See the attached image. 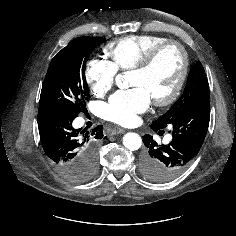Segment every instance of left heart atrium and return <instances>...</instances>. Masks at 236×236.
Instances as JSON below:
<instances>
[{
	"label": "left heart atrium",
	"mask_w": 236,
	"mask_h": 236,
	"mask_svg": "<svg viewBox=\"0 0 236 236\" xmlns=\"http://www.w3.org/2000/svg\"><path fill=\"white\" fill-rule=\"evenodd\" d=\"M150 103V94L141 86L118 91L105 106L104 117L120 125H132L138 115L149 108Z\"/></svg>",
	"instance_id": "39dd6f15"
}]
</instances>
